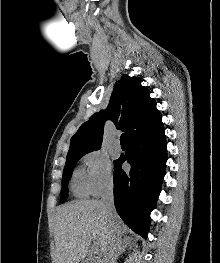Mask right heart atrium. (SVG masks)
<instances>
[{"label":"right heart atrium","instance_id":"1","mask_svg":"<svg viewBox=\"0 0 220 263\" xmlns=\"http://www.w3.org/2000/svg\"><path fill=\"white\" fill-rule=\"evenodd\" d=\"M90 193L98 196L112 187L114 175L107 155L93 150L83 156Z\"/></svg>","mask_w":220,"mask_h":263}]
</instances>
